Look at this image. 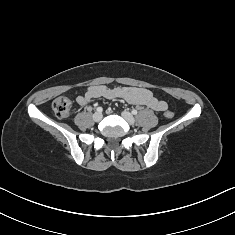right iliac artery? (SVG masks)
<instances>
[{"instance_id":"82829eb1","label":"right iliac artery","mask_w":235,"mask_h":235,"mask_svg":"<svg viewBox=\"0 0 235 235\" xmlns=\"http://www.w3.org/2000/svg\"><path fill=\"white\" fill-rule=\"evenodd\" d=\"M97 111H98V112H102V107H98V108H97Z\"/></svg>"}]
</instances>
